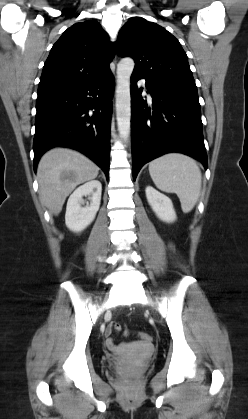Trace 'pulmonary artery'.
Returning <instances> with one entry per match:
<instances>
[{
    "instance_id": "1",
    "label": "pulmonary artery",
    "mask_w": 248,
    "mask_h": 419,
    "mask_svg": "<svg viewBox=\"0 0 248 419\" xmlns=\"http://www.w3.org/2000/svg\"><path fill=\"white\" fill-rule=\"evenodd\" d=\"M142 83L145 84V81L143 80Z\"/></svg>"
}]
</instances>
